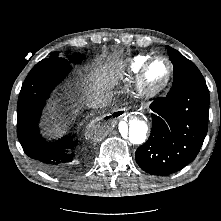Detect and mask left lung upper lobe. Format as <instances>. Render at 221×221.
Wrapping results in <instances>:
<instances>
[{"mask_svg":"<svg viewBox=\"0 0 221 221\" xmlns=\"http://www.w3.org/2000/svg\"><path fill=\"white\" fill-rule=\"evenodd\" d=\"M166 48L174 70V80L172 88L169 91L170 94H176L191 86L206 84L201 72L192 61L185 58L177 50L169 46H166Z\"/></svg>","mask_w":221,"mask_h":221,"instance_id":"1","label":"left lung upper lobe"}]
</instances>
